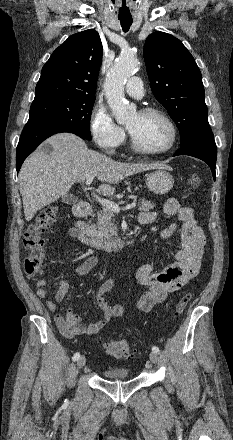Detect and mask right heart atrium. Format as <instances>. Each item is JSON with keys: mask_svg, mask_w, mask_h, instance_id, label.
Returning a JSON list of instances; mask_svg holds the SVG:
<instances>
[{"mask_svg": "<svg viewBox=\"0 0 233 440\" xmlns=\"http://www.w3.org/2000/svg\"><path fill=\"white\" fill-rule=\"evenodd\" d=\"M90 132L96 145L104 152L113 154L125 142V130L115 123L102 106H95L90 115Z\"/></svg>", "mask_w": 233, "mask_h": 440, "instance_id": "d8ad5b80", "label": "right heart atrium"}]
</instances>
